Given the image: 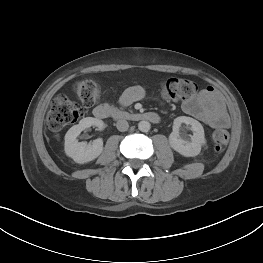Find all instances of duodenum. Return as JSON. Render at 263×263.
<instances>
[{"label":"duodenum","instance_id":"410a0bca","mask_svg":"<svg viewBox=\"0 0 263 263\" xmlns=\"http://www.w3.org/2000/svg\"><path fill=\"white\" fill-rule=\"evenodd\" d=\"M93 114L98 119L114 118L117 120H130V121H149L152 123H157L160 117L154 112H144V113H129L117 109H113L108 105H99L93 110Z\"/></svg>","mask_w":263,"mask_h":263}]
</instances>
